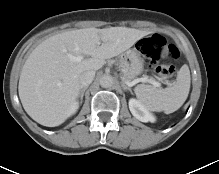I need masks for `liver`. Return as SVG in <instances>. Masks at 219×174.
Segmentation results:
<instances>
[{
	"mask_svg": "<svg viewBox=\"0 0 219 174\" xmlns=\"http://www.w3.org/2000/svg\"><path fill=\"white\" fill-rule=\"evenodd\" d=\"M147 34L127 27H91L47 38L23 65L18 86L23 108L41 125L62 124L79 96L81 74L99 70L106 59L126 51ZM71 56L90 58L75 61Z\"/></svg>",
	"mask_w": 219,
	"mask_h": 174,
	"instance_id": "obj_1",
	"label": "liver"
}]
</instances>
